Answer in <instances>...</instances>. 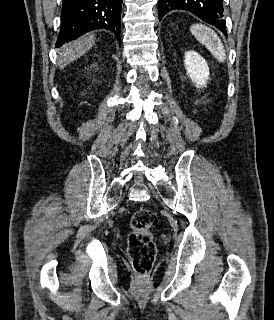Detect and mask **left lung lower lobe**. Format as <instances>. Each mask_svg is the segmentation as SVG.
Instances as JSON below:
<instances>
[{
    "label": "left lung lower lobe",
    "instance_id": "1",
    "mask_svg": "<svg viewBox=\"0 0 274 320\" xmlns=\"http://www.w3.org/2000/svg\"><path fill=\"white\" fill-rule=\"evenodd\" d=\"M187 10L203 21L210 23L221 30L226 36V25L223 20L222 0H158V14L161 20L172 10Z\"/></svg>",
    "mask_w": 274,
    "mask_h": 320
}]
</instances>
